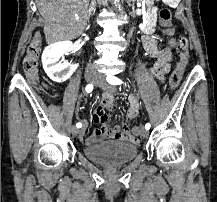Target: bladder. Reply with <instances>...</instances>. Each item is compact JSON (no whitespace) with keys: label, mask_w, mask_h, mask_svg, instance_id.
Segmentation results:
<instances>
[{"label":"bladder","mask_w":217,"mask_h":202,"mask_svg":"<svg viewBox=\"0 0 217 202\" xmlns=\"http://www.w3.org/2000/svg\"><path fill=\"white\" fill-rule=\"evenodd\" d=\"M86 158L94 159L103 165L128 163L138 155V143L103 142L84 147Z\"/></svg>","instance_id":"31cf9c89"}]
</instances>
